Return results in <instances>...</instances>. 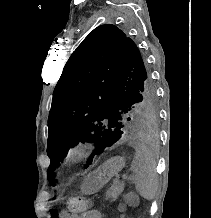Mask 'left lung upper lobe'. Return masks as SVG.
<instances>
[{"label":"left lung upper lobe","mask_w":211,"mask_h":218,"mask_svg":"<svg viewBox=\"0 0 211 218\" xmlns=\"http://www.w3.org/2000/svg\"><path fill=\"white\" fill-rule=\"evenodd\" d=\"M155 89L131 38L112 24L91 31L67 61L48 119V179L78 142L101 143L88 159L117 142L128 126L157 119Z\"/></svg>","instance_id":"5c2ea615"}]
</instances>
